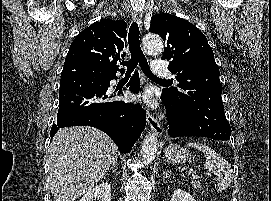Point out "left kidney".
I'll return each instance as SVG.
<instances>
[{"mask_svg":"<svg viewBox=\"0 0 271 201\" xmlns=\"http://www.w3.org/2000/svg\"><path fill=\"white\" fill-rule=\"evenodd\" d=\"M170 201H196V200L193 198V196H191V194L178 188L172 194V198Z\"/></svg>","mask_w":271,"mask_h":201,"instance_id":"obj_1","label":"left kidney"}]
</instances>
